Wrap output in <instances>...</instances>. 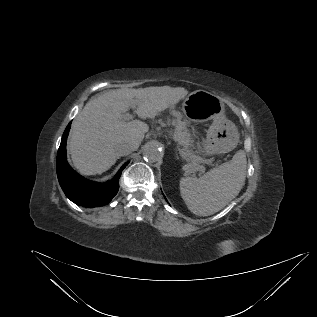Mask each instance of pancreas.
Here are the masks:
<instances>
[{
    "label": "pancreas",
    "mask_w": 317,
    "mask_h": 317,
    "mask_svg": "<svg viewBox=\"0 0 317 317\" xmlns=\"http://www.w3.org/2000/svg\"><path fill=\"white\" fill-rule=\"evenodd\" d=\"M171 113L175 117L172 122L175 126L173 139L180 146H182L186 156L191 161L193 167L196 166V169H199L200 166L198 165V163L200 162V157L196 155L191 149L193 147V138L187 128L188 123L186 122V120H182V115L180 112L173 110Z\"/></svg>",
    "instance_id": "cf45deb5"
}]
</instances>
